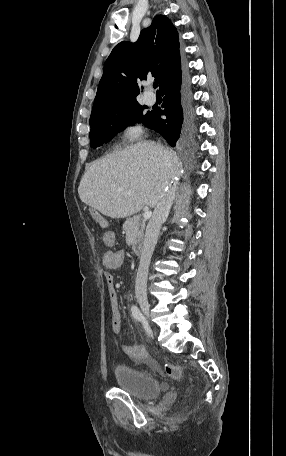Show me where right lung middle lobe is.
Returning a JSON list of instances; mask_svg holds the SVG:
<instances>
[{
	"mask_svg": "<svg viewBox=\"0 0 286 456\" xmlns=\"http://www.w3.org/2000/svg\"><path fill=\"white\" fill-rule=\"evenodd\" d=\"M146 107L139 103L113 108L101 114L90 122V145L92 148L110 141L118 132L124 130L128 125L143 122L148 125L152 111L144 113ZM191 130L187 138L178 145L186 144L193 134Z\"/></svg>",
	"mask_w": 286,
	"mask_h": 456,
	"instance_id": "obj_1",
	"label": "right lung middle lobe"
}]
</instances>
